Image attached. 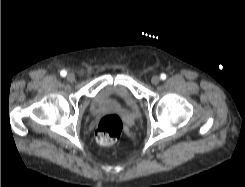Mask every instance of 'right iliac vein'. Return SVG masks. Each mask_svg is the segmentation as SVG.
I'll return each instance as SVG.
<instances>
[{"mask_svg":"<svg viewBox=\"0 0 245 187\" xmlns=\"http://www.w3.org/2000/svg\"><path fill=\"white\" fill-rule=\"evenodd\" d=\"M67 81L68 82H74L75 81V79H76V76H75V74L74 73H69L68 75H67Z\"/></svg>","mask_w":245,"mask_h":187,"instance_id":"obj_1","label":"right iliac vein"}]
</instances>
